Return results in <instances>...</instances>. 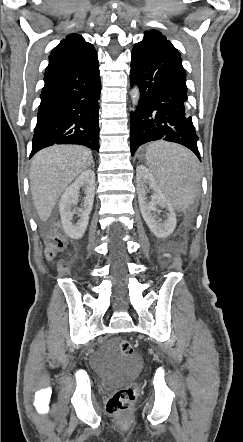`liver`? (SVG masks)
Wrapping results in <instances>:
<instances>
[{
    "label": "liver",
    "mask_w": 243,
    "mask_h": 442,
    "mask_svg": "<svg viewBox=\"0 0 243 442\" xmlns=\"http://www.w3.org/2000/svg\"><path fill=\"white\" fill-rule=\"evenodd\" d=\"M93 163L91 151L79 145H55L39 151L32 159L30 190L42 222L68 185Z\"/></svg>",
    "instance_id": "6515ba94"
}]
</instances>
